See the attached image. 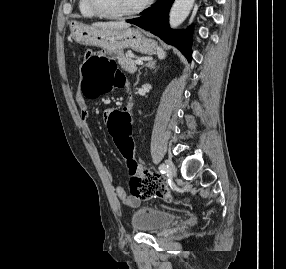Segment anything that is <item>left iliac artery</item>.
I'll list each match as a JSON object with an SVG mask.
<instances>
[{"mask_svg": "<svg viewBox=\"0 0 286 269\" xmlns=\"http://www.w3.org/2000/svg\"><path fill=\"white\" fill-rule=\"evenodd\" d=\"M159 170L161 173H166L167 172V166L165 164H161L159 166Z\"/></svg>", "mask_w": 286, "mask_h": 269, "instance_id": "44dca946", "label": "left iliac artery"}]
</instances>
